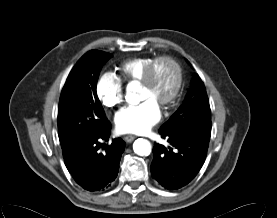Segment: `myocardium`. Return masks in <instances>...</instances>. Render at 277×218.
<instances>
[{"label": "myocardium", "instance_id": "f54148a6", "mask_svg": "<svg viewBox=\"0 0 277 218\" xmlns=\"http://www.w3.org/2000/svg\"><path fill=\"white\" fill-rule=\"evenodd\" d=\"M166 62L174 69V81L167 94L159 100V104L164 106L173 102L179 95L183 84V69L179 61L171 55H161L152 60L147 67L145 75L141 81L144 87H151L155 81V71L158 63Z\"/></svg>", "mask_w": 277, "mask_h": 218}]
</instances>
